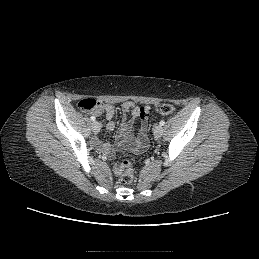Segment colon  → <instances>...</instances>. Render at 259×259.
Returning a JSON list of instances; mask_svg holds the SVG:
<instances>
[{
	"label": "colon",
	"mask_w": 259,
	"mask_h": 259,
	"mask_svg": "<svg viewBox=\"0 0 259 259\" xmlns=\"http://www.w3.org/2000/svg\"><path fill=\"white\" fill-rule=\"evenodd\" d=\"M78 106L81 110L90 112L95 111L96 109L103 106L102 103L97 102L94 99H83L79 102ZM175 111L174 106L170 104H163L159 108V113L161 115H170ZM140 115L142 118H147L150 115V110L148 107H141L140 108ZM114 172L117 176H119V180L122 184H130L134 180V173L132 168V163L130 160L125 159L120 163L114 165Z\"/></svg>",
	"instance_id": "1"
}]
</instances>
